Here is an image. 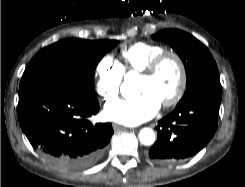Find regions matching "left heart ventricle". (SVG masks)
<instances>
[{
  "mask_svg": "<svg viewBox=\"0 0 245 187\" xmlns=\"http://www.w3.org/2000/svg\"><path fill=\"white\" fill-rule=\"evenodd\" d=\"M180 80L179 68L174 60L168 59L161 64L152 77H141L138 92H150L161 103L168 100L176 91Z\"/></svg>",
  "mask_w": 245,
  "mask_h": 187,
  "instance_id": "obj_1",
  "label": "left heart ventricle"
}]
</instances>
